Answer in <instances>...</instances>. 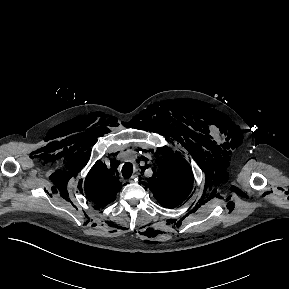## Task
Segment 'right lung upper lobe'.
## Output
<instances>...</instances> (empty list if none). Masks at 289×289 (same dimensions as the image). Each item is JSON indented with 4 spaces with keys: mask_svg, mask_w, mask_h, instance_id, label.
Masks as SVG:
<instances>
[{
    "mask_svg": "<svg viewBox=\"0 0 289 289\" xmlns=\"http://www.w3.org/2000/svg\"><path fill=\"white\" fill-rule=\"evenodd\" d=\"M120 185L114 173L98 161L86 177L84 191L88 199L98 208L115 200L116 194L121 189Z\"/></svg>",
    "mask_w": 289,
    "mask_h": 289,
    "instance_id": "obj_1",
    "label": "right lung upper lobe"
}]
</instances>
